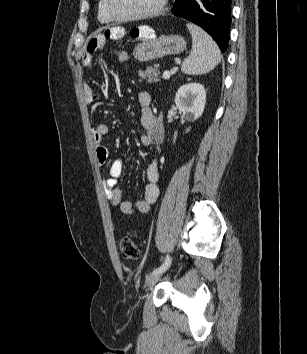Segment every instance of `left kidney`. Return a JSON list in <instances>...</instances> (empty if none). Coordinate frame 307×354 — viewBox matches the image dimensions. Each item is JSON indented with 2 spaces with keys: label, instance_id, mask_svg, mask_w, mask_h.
Instances as JSON below:
<instances>
[{
  "label": "left kidney",
  "instance_id": "5707ae66",
  "mask_svg": "<svg viewBox=\"0 0 307 354\" xmlns=\"http://www.w3.org/2000/svg\"><path fill=\"white\" fill-rule=\"evenodd\" d=\"M205 103L206 91L199 83L182 85L175 95L176 107L188 121H194L202 115Z\"/></svg>",
  "mask_w": 307,
  "mask_h": 354
}]
</instances>
